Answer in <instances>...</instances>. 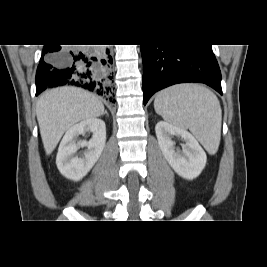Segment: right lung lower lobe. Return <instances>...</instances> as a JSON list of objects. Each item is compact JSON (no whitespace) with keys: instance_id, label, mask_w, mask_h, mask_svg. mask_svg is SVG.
Masks as SVG:
<instances>
[{"instance_id":"right-lung-lower-lobe-1","label":"right lung lower lobe","mask_w":267,"mask_h":267,"mask_svg":"<svg viewBox=\"0 0 267 267\" xmlns=\"http://www.w3.org/2000/svg\"><path fill=\"white\" fill-rule=\"evenodd\" d=\"M109 49H70L44 45L36 73V96L46 88L71 85L82 87L112 101Z\"/></svg>"}]
</instances>
